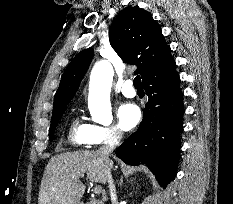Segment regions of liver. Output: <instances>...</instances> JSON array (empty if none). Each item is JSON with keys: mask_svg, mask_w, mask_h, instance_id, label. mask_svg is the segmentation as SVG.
<instances>
[{"mask_svg": "<svg viewBox=\"0 0 233 204\" xmlns=\"http://www.w3.org/2000/svg\"><path fill=\"white\" fill-rule=\"evenodd\" d=\"M113 162L99 151H74L52 157L43 174L38 204H77L85 192L80 178L105 184Z\"/></svg>", "mask_w": 233, "mask_h": 204, "instance_id": "obj_1", "label": "liver"}]
</instances>
